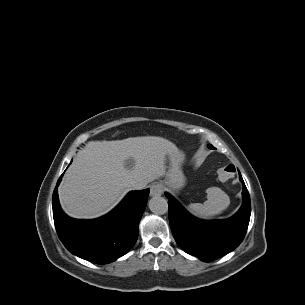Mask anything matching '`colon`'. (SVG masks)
Segmentation results:
<instances>
[{"mask_svg":"<svg viewBox=\"0 0 305 305\" xmlns=\"http://www.w3.org/2000/svg\"><path fill=\"white\" fill-rule=\"evenodd\" d=\"M233 170L230 167H223L218 170L217 175L220 182H227L233 177Z\"/></svg>","mask_w":305,"mask_h":305,"instance_id":"obj_1","label":"colon"}]
</instances>
